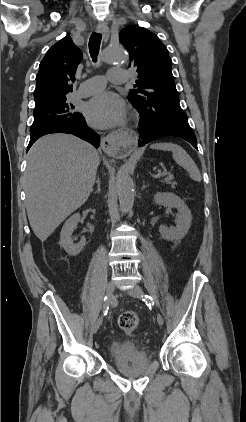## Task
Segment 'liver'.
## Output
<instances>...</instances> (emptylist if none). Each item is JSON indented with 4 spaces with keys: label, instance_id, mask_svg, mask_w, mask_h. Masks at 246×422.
<instances>
[{
    "label": "liver",
    "instance_id": "6515ba94",
    "mask_svg": "<svg viewBox=\"0 0 246 422\" xmlns=\"http://www.w3.org/2000/svg\"><path fill=\"white\" fill-rule=\"evenodd\" d=\"M99 163L97 151L73 135H46L31 147L24 174L26 210L42 242L86 202Z\"/></svg>",
    "mask_w": 246,
    "mask_h": 422
}]
</instances>
